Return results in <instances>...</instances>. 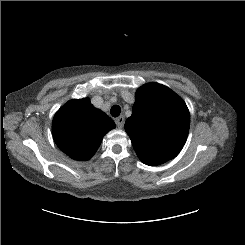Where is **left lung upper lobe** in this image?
I'll return each instance as SVG.
<instances>
[{
	"mask_svg": "<svg viewBox=\"0 0 245 245\" xmlns=\"http://www.w3.org/2000/svg\"><path fill=\"white\" fill-rule=\"evenodd\" d=\"M189 126L185 102L170 88L153 82L138 88L132 115L124 128L139 159L155 166L178 155Z\"/></svg>",
	"mask_w": 245,
	"mask_h": 245,
	"instance_id": "obj_1",
	"label": "left lung upper lobe"
}]
</instances>
